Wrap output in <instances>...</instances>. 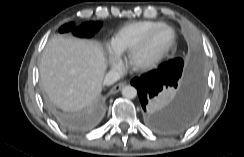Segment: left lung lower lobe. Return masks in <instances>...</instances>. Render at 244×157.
I'll use <instances>...</instances> for the list:
<instances>
[{
  "instance_id": "1",
  "label": "left lung lower lobe",
  "mask_w": 244,
  "mask_h": 157,
  "mask_svg": "<svg viewBox=\"0 0 244 157\" xmlns=\"http://www.w3.org/2000/svg\"><path fill=\"white\" fill-rule=\"evenodd\" d=\"M183 67V62L168 69L159 66L131 81L146 113L145 121L156 131H184L199 115L205 92L204 77L196 65ZM174 89L177 94L171 99Z\"/></svg>"
}]
</instances>
